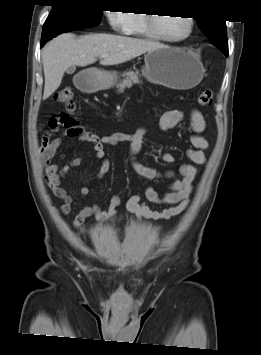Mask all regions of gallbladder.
Masks as SVG:
<instances>
[{
  "label": "gallbladder",
  "mask_w": 261,
  "mask_h": 355,
  "mask_svg": "<svg viewBox=\"0 0 261 355\" xmlns=\"http://www.w3.org/2000/svg\"><path fill=\"white\" fill-rule=\"evenodd\" d=\"M75 70H76V67H75V66H70V67L67 69V73H68V74L74 73Z\"/></svg>",
  "instance_id": "gallbladder-1"
}]
</instances>
